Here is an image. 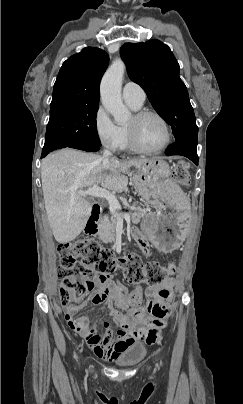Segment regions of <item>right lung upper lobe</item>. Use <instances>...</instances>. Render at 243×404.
I'll return each mask as SVG.
<instances>
[{
  "instance_id": "1",
  "label": "right lung upper lobe",
  "mask_w": 243,
  "mask_h": 404,
  "mask_svg": "<svg viewBox=\"0 0 243 404\" xmlns=\"http://www.w3.org/2000/svg\"><path fill=\"white\" fill-rule=\"evenodd\" d=\"M108 63V54L92 47L68 58L54 84L50 107L69 103L98 104L99 84Z\"/></svg>"
}]
</instances>
